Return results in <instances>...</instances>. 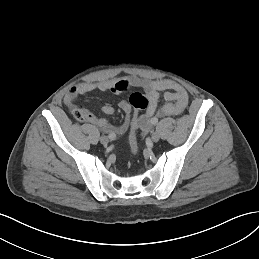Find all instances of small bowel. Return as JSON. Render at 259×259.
Wrapping results in <instances>:
<instances>
[{"label":"small bowel","mask_w":259,"mask_h":259,"mask_svg":"<svg viewBox=\"0 0 259 259\" xmlns=\"http://www.w3.org/2000/svg\"><path fill=\"white\" fill-rule=\"evenodd\" d=\"M128 87L142 88L148 98L149 104L145 112L140 116L139 126L146 134L151 127L152 118L158 114L161 116L178 115L182 113L188 105L189 96L187 91L178 83L169 79L147 80L135 76H129L121 79L103 80L99 82H82L71 87L65 95V102L71 104L79 95H85L95 90L101 92L111 91L119 93ZM164 93L165 102L158 106L160 94ZM119 107L125 114V118L120 125H113L107 119L97 117L88 112L86 121L96 125L106 133H124L130 124L131 105L129 101L122 100ZM101 111L106 115L114 113L111 105H103Z\"/></svg>","instance_id":"obj_1"}]
</instances>
